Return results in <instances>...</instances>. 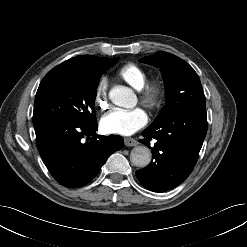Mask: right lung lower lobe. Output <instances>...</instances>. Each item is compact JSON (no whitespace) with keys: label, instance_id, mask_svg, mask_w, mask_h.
<instances>
[{"label":"right lung lower lobe","instance_id":"1","mask_svg":"<svg viewBox=\"0 0 247 247\" xmlns=\"http://www.w3.org/2000/svg\"><path fill=\"white\" fill-rule=\"evenodd\" d=\"M34 128L43 162L53 178L68 188L89 183L108 157L124 145L121 136L96 135L97 121H50Z\"/></svg>","mask_w":247,"mask_h":247}]
</instances>
